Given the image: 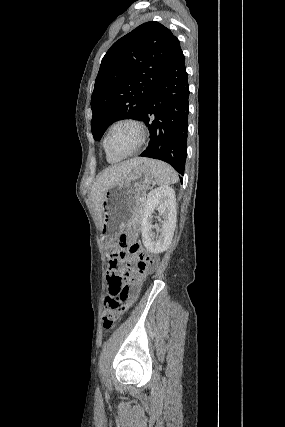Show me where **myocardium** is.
I'll return each mask as SVG.
<instances>
[{
  "label": "myocardium",
  "mask_w": 285,
  "mask_h": 427,
  "mask_svg": "<svg viewBox=\"0 0 285 427\" xmlns=\"http://www.w3.org/2000/svg\"><path fill=\"white\" fill-rule=\"evenodd\" d=\"M121 124H130V125L134 126L137 130V133H138V141H137L135 147L131 151L124 153V154H116V153H113L108 147V137H109V134L112 131V129L118 125H121ZM145 138H146V129H145L144 124L140 120L135 119V118H122V119H119V120L113 122L109 126V128L107 129L106 134L104 136L103 145H104L105 150L109 154H111L117 158H126L129 156H132L133 154H135L140 149V147L145 142Z\"/></svg>",
  "instance_id": "myocardium-1"
}]
</instances>
